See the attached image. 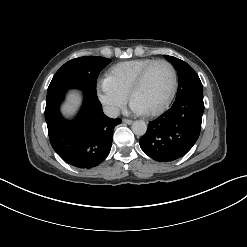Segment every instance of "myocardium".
<instances>
[{
	"instance_id": "1",
	"label": "myocardium",
	"mask_w": 247,
	"mask_h": 247,
	"mask_svg": "<svg viewBox=\"0 0 247 247\" xmlns=\"http://www.w3.org/2000/svg\"><path fill=\"white\" fill-rule=\"evenodd\" d=\"M158 64H165L170 68V70L172 72V86H171V90H170L167 98L165 99V101L160 106H158L157 108H155L151 111L145 112L147 115H157V114L163 112L171 103V101H172V99L176 93L177 87H178V74H177V70H176L175 66L168 60L158 59V60H155L154 62H152L151 64H149L147 67H145L140 72V74L137 76V78L134 80V82L132 83V85L128 91L129 98L132 100L134 92L142 86V84L144 83L149 72L152 70V68L154 66H156Z\"/></svg>"
}]
</instances>
